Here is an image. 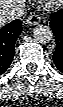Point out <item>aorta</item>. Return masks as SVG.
<instances>
[{"instance_id":"aorta-1","label":"aorta","mask_w":63,"mask_h":107,"mask_svg":"<svg viewBox=\"0 0 63 107\" xmlns=\"http://www.w3.org/2000/svg\"><path fill=\"white\" fill-rule=\"evenodd\" d=\"M33 37L36 42L46 44L53 38V31L46 25H38L33 29Z\"/></svg>"}]
</instances>
